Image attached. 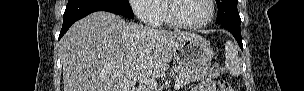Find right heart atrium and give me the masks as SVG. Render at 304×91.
<instances>
[{"label": "right heart atrium", "instance_id": "1", "mask_svg": "<svg viewBox=\"0 0 304 91\" xmlns=\"http://www.w3.org/2000/svg\"><path fill=\"white\" fill-rule=\"evenodd\" d=\"M131 8L137 17L144 23H160V15L157 10V0H131Z\"/></svg>", "mask_w": 304, "mask_h": 91}]
</instances>
